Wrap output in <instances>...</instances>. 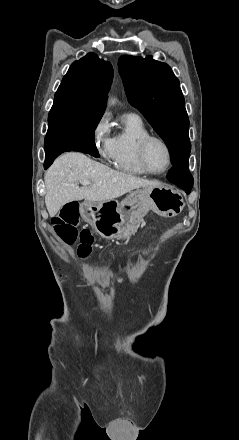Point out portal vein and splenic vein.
I'll use <instances>...</instances> for the list:
<instances>
[{"label": "portal vein and splenic vein", "instance_id": "obj_1", "mask_svg": "<svg viewBox=\"0 0 239 440\" xmlns=\"http://www.w3.org/2000/svg\"><path fill=\"white\" fill-rule=\"evenodd\" d=\"M80 184H82V186H89L90 182H89V180H82V182H80Z\"/></svg>", "mask_w": 239, "mask_h": 440}]
</instances>
